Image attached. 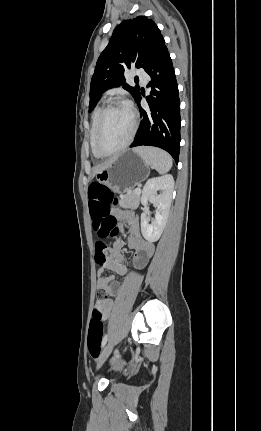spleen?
<instances>
[{
  "label": "spleen",
  "mask_w": 261,
  "mask_h": 431,
  "mask_svg": "<svg viewBox=\"0 0 261 431\" xmlns=\"http://www.w3.org/2000/svg\"><path fill=\"white\" fill-rule=\"evenodd\" d=\"M135 151L140 154L148 165L160 174L168 172L172 167L173 162L171 156L161 149L153 147H138Z\"/></svg>",
  "instance_id": "1"
}]
</instances>
